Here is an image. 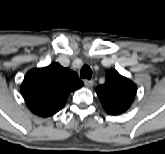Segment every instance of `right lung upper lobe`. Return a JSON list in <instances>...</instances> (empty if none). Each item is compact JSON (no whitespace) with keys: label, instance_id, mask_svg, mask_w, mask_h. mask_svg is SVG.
<instances>
[{"label":"right lung upper lobe","instance_id":"obj_1","mask_svg":"<svg viewBox=\"0 0 165 154\" xmlns=\"http://www.w3.org/2000/svg\"><path fill=\"white\" fill-rule=\"evenodd\" d=\"M83 82L78 75L59 63L30 70L21 85V92L29 109L42 117L52 116L61 110L68 95Z\"/></svg>","mask_w":165,"mask_h":154}]
</instances>
